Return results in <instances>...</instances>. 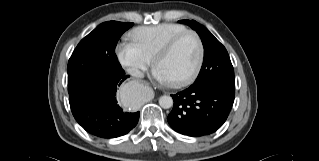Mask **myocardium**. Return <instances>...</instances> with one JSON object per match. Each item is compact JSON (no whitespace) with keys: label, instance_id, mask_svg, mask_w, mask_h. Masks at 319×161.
Returning a JSON list of instances; mask_svg holds the SVG:
<instances>
[{"label":"myocardium","instance_id":"obj_1","mask_svg":"<svg viewBox=\"0 0 319 161\" xmlns=\"http://www.w3.org/2000/svg\"><path fill=\"white\" fill-rule=\"evenodd\" d=\"M188 35L193 36L196 40V43L198 46L197 61L194 65V67L192 68V70L190 72H188L186 75H184L178 79L169 81V83L173 86H179V85L186 84L198 75V73L202 67L203 60H204V44H203V41H202L201 37L199 36V34L193 30H186L180 34H177L176 36L172 37L170 40H168L162 46V48L157 52V54L155 55V57L153 59V65L156 67L157 64L163 58H165L166 56H168L171 53V51L174 49V47L177 45V43L181 39H183L184 37H186Z\"/></svg>","mask_w":319,"mask_h":161}]
</instances>
